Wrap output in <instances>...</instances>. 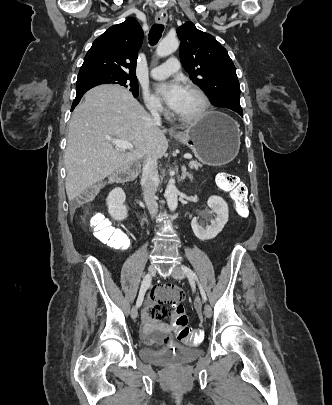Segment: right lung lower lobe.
Wrapping results in <instances>:
<instances>
[{"label":"right lung lower lobe","instance_id":"98d812e1","mask_svg":"<svg viewBox=\"0 0 332 405\" xmlns=\"http://www.w3.org/2000/svg\"><path fill=\"white\" fill-rule=\"evenodd\" d=\"M85 92H86V91L77 93V96H76V98H75L74 101H73L71 111H72V110L75 108V106L79 103L81 97L84 95Z\"/></svg>","mask_w":332,"mask_h":405}]
</instances>
